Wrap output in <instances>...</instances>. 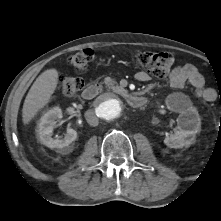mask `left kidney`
Wrapping results in <instances>:
<instances>
[{
	"instance_id": "5707ae66",
	"label": "left kidney",
	"mask_w": 221,
	"mask_h": 221,
	"mask_svg": "<svg viewBox=\"0 0 221 221\" xmlns=\"http://www.w3.org/2000/svg\"><path fill=\"white\" fill-rule=\"evenodd\" d=\"M166 105L170 111L179 113V117L174 134L166 136L164 143L170 148H182L190 145L195 135L201 130L198 111L183 93L170 94L166 98Z\"/></svg>"
}]
</instances>
